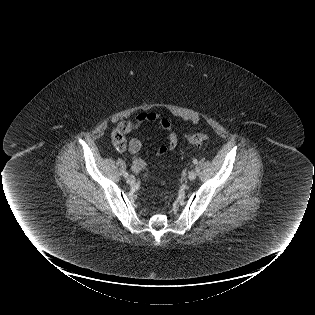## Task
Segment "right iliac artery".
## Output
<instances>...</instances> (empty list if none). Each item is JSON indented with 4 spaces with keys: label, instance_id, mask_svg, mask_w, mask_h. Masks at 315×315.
<instances>
[{
    "label": "right iliac artery",
    "instance_id": "right-iliac-artery-1",
    "mask_svg": "<svg viewBox=\"0 0 315 315\" xmlns=\"http://www.w3.org/2000/svg\"><path fill=\"white\" fill-rule=\"evenodd\" d=\"M123 176H124L125 178H127L129 175H128L127 172H124V173H123Z\"/></svg>",
    "mask_w": 315,
    "mask_h": 315
}]
</instances>
